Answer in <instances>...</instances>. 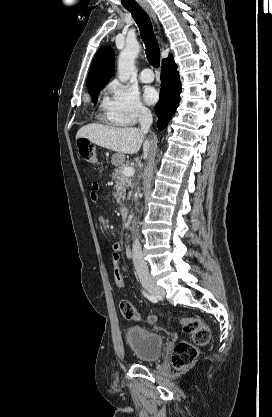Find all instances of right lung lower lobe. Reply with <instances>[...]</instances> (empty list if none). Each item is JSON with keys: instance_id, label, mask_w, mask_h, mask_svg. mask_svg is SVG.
<instances>
[{"instance_id": "98d812e1", "label": "right lung lower lobe", "mask_w": 272, "mask_h": 417, "mask_svg": "<svg viewBox=\"0 0 272 417\" xmlns=\"http://www.w3.org/2000/svg\"><path fill=\"white\" fill-rule=\"evenodd\" d=\"M162 88L160 98L155 107L158 116L159 129H165L180 101L181 83L177 65L173 58L169 56L162 62Z\"/></svg>"}]
</instances>
